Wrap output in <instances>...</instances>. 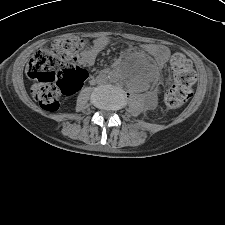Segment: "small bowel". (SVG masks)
Masks as SVG:
<instances>
[{
	"instance_id": "c3829d8e",
	"label": "small bowel",
	"mask_w": 225,
	"mask_h": 225,
	"mask_svg": "<svg viewBox=\"0 0 225 225\" xmlns=\"http://www.w3.org/2000/svg\"><path fill=\"white\" fill-rule=\"evenodd\" d=\"M110 39L106 36L96 38L92 45L86 48L81 54V63L84 66H91L94 64L98 54L109 44ZM145 50L154 57L155 64L162 66L169 58L170 51L163 45H146ZM127 51L125 55H130Z\"/></svg>"
}]
</instances>
